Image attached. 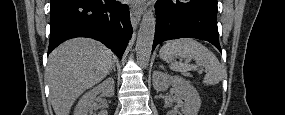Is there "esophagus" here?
I'll use <instances>...</instances> for the list:
<instances>
[{
  "instance_id": "34e87169",
  "label": "esophagus",
  "mask_w": 285,
  "mask_h": 115,
  "mask_svg": "<svg viewBox=\"0 0 285 115\" xmlns=\"http://www.w3.org/2000/svg\"><path fill=\"white\" fill-rule=\"evenodd\" d=\"M142 14V8L140 6H134L132 5L130 7V18H131V24L134 29L137 28Z\"/></svg>"
}]
</instances>
